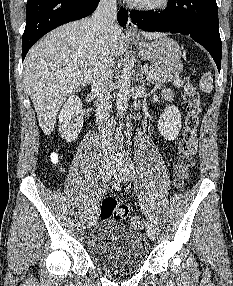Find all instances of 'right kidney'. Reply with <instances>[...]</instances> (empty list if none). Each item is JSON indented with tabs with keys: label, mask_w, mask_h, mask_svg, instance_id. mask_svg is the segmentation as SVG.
Returning a JSON list of instances; mask_svg holds the SVG:
<instances>
[{
	"label": "right kidney",
	"mask_w": 233,
	"mask_h": 286,
	"mask_svg": "<svg viewBox=\"0 0 233 286\" xmlns=\"http://www.w3.org/2000/svg\"><path fill=\"white\" fill-rule=\"evenodd\" d=\"M59 132L66 142L77 139L83 126L82 102L78 96L72 95L64 103L59 113Z\"/></svg>",
	"instance_id": "ca27d5eb"
}]
</instances>
